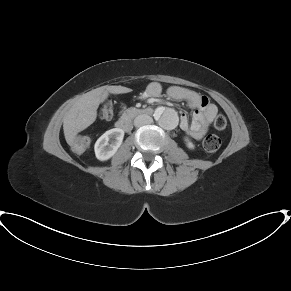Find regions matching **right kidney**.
<instances>
[{"mask_svg": "<svg viewBox=\"0 0 291 291\" xmlns=\"http://www.w3.org/2000/svg\"><path fill=\"white\" fill-rule=\"evenodd\" d=\"M124 138V131L120 128H113L106 131L95 143L94 151L98 160L110 159L121 146Z\"/></svg>", "mask_w": 291, "mask_h": 291, "instance_id": "ca27d5eb", "label": "right kidney"}]
</instances>
